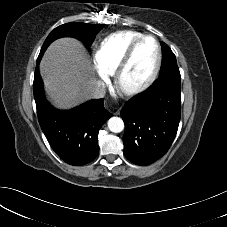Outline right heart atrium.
I'll list each match as a JSON object with an SVG mask.
<instances>
[{
	"label": "right heart atrium",
	"instance_id": "right-heart-atrium-1",
	"mask_svg": "<svg viewBox=\"0 0 227 227\" xmlns=\"http://www.w3.org/2000/svg\"><path fill=\"white\" fill-rule=\"evenodd\" d=\"M96 72H97L99 80L102 83H107L108 82L109 74L104 69H102L99 65H96Z\"/></svg>",
	"mask_w": 227,
	"mask_h": 227
}]
</instances>
